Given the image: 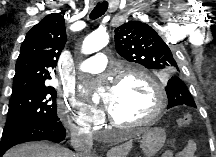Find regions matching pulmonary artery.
Returning <instances> with one entry per match:
<instances>
[{"label":"pulmonary artery","instance_id":"e3ab8cb5","mask_svg":"<svg viewBox=\"0 0 216 157\" xmlns=\"http://www.w3.org/2000/svg\"><path fill=\"white\" fill-rule=\"evenodd\" d=\"M107 65V56L104 53H97L81 62L79 70L87 73L102 72Z\"/></svg>","mask_w":216,"mask_h":157}]
</instances>
